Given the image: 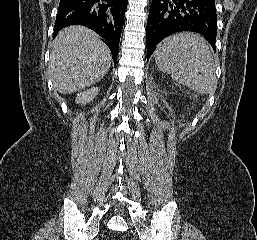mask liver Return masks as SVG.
Returning a JSON list of instances; mask_svg holds the SVG:
<instances>
[{
    "label": "liver",
    "instance_id": "1",
    "mask_svg": "<svg viewBox=\"0 0 257 240\" xmlns=\"http://www.w3.org/2000/svg\"><path fill=\"white\" fill-rule=\"evenodd\" d=\"M111 52L93 31L82 26L63 29L56 36L49 71L54 89L71 94L100 81L110 68Z\"/></svg>",
    "mask_w": 257,
    "mask_h": 240
}]
</instances>
